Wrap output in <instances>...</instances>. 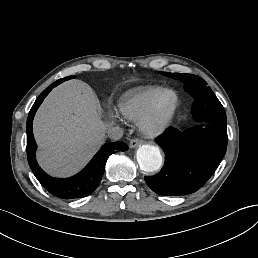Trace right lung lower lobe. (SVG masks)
Segmentation results:
<instances>
[{
  "label": "right lung lower lobe",
  "instance_id": "1",
  "mask_svg": "<svg viewBox=\"0 0 258 258\" xmlns=\"http://www.w3.org/2000/svg\"><path fill=\"white\" fill-rule=\"evenodd\" d=\"M72 78L74 77L69 76L60 79L47 87L36 99L27 119V158L30 168L37 180L49 193L62 199L82 198L90 195L102 179L108 157L117 151L128 149V146L122 141L105 144L81 172L66 179L53 178L40 168L35 158L37 146L32 130L34 115L44 98L55 86Z\"/></svg>",
  "mask_w": 258,
  "mask_h": 258
}]
</instances>
